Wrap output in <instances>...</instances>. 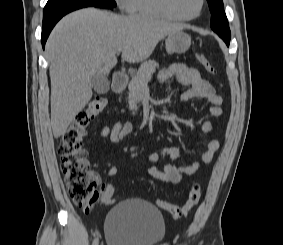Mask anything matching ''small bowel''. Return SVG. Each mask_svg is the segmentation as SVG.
<instances>
[{
  "mask_svg": "<svg viewBox=\"0 0 283 245\" xmlns=\"http://www.w3.org/2000/svg\"><path fill=\"white\" fill-rule=\"evenodd\" d=\"M161 83H165L171 79H176L179 83L189 88L182 93L181 99L188 101L194 98L205 99L209 104V113L213 117H219L222 114V98L217 94L212 84L202 78L199 71L185 64L176 63L162 69L158 74ZM134 129L131 122H116L111 127L104 126L100 132L102 144L108 141L112 143L119 142L129 135ZM215 126L211 121H205L202 124V131L208 136V144L206 151L201 155L200 159L194 161L188 166H176L172 163L180 154L176 147H165L160 152L152 153L148 156V167L146 172L153 178L165 183L177 184L181 181L183 175L195 174L202 165L212 162L214 154L219 149V142L213 137ZM167 158L168 161L160 169L159 165ZM119 172V167L112 166L108 169V176L113 177ZM94 180L100 183V178L93 175Z\"/></svg>",
  "mask_w": 283,
  "mask_h": 245,
  "instance_id": "small-bowel-1",
  "label": "small bowel"
}]
</instances>
